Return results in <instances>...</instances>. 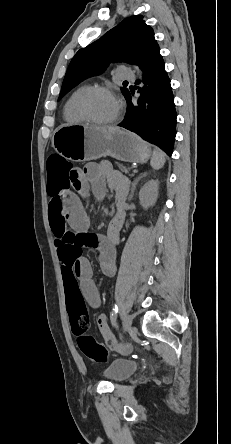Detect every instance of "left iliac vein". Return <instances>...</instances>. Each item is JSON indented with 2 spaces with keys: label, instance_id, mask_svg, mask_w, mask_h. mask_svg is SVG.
Returning a JSON list of instances; mask_svg holds the SVG:
<instances>
[{
  "label": "left iliac vein",
  "instance_id": "obj_1",
  "mask_svg": "<svg viewBox=\"0 0 231 444\" xmlns=\"http://www.w3.org/2000/svg\"><path fill=\"white\" fill-rule=\"evenodd\" d=\"M132 317L130 315H125L123 320V330L124 332L129 331L132 328Z\"/></svg>",
  "mask_w": 231,
  "mask_h": 444
}]
</instances>
